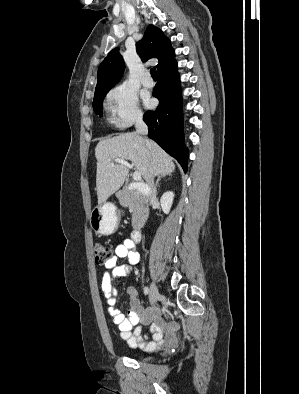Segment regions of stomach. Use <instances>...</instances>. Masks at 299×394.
<instances>
[{"label":"stomach","mask_w":299,"mask_h":394,"mask_svg":"<svg viewBox=\"0 0 299 394\" xmlns=\"http://www.w3.org/2000/svg\"><path fill=\"white\" fill-rule=\"evenodd\" d=\"M119 214L112 203H103L95 207L90 214L92 229L101 235H111L117 229Z\"/></svg>","instance_id":"1"}]
</instances>
